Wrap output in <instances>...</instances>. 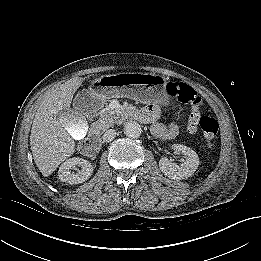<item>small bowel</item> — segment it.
<instances>
[{
    "label": "small bowel",
    "mask_w": 261,
    "mask_h": 261,
    "mask_svg": "<svg viewBox=\"0 0 261 261\" xmlns=\"http://www.w3.org/2000/svg\"><path fill=\"white\" fill-rule=\"evenodd\" d=\"M141 119L150 121L156 118L159 113V107L156 104H149L142 110H136ZM179 128L175 123L164 125L159 122H153L151 132L157 138L162 140H171L178 135Z\"/></svg>",
    "instance_id": "c3829d8e"
}]
</instances>
